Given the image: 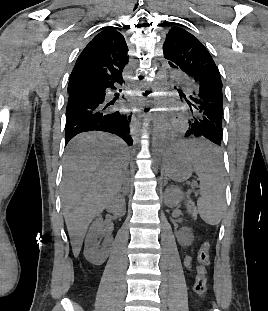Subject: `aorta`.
Returning <instances> with one entry per match:
<instances>
[{
  "label": "aorta",
  "mask_w": 268,
  "mask_h": 311,
  "mask_svg": "<svg viewBox=\"0 0 268 311\" xmlns=\"http://www.w3.org/2000/svg\"><path fill=\"white\" fill-rule=\"evenodd\" d=\"M155 79L152 90L155 92L154 101V133L152 141V154L155 161H159L163 155L167 140V101H166V79L168 71L164 65H155Z\"/></svg>",
  "instance_id": "aorta-1"
}]
</instances>
